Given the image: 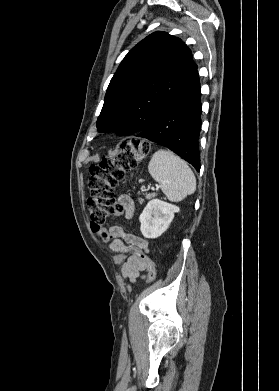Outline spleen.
Wrapping results in <instances>:
<instances>
[{"label": "spleen", "mask_w": 279, "mask_h": 391, "mask_svg": "<svg viewBox=\"0 0 279 391\" xmlns=\"http://www.w3.org/2000/svg\"><path fill=\"white\" fill-rule=\"evenodd\" d=\"M148 170L172 202H179L196 190V178L191 168L168 150L156 151L148 164Z\"/></svg>", "instance_id": "3e777b00"}]
</instances>
